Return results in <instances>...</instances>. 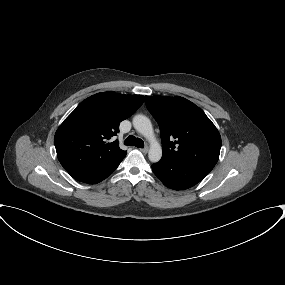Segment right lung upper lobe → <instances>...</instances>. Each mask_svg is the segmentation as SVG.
Instances as JSON below:
<instances>
[{"mask_svg": "<svg viewBox=\"0 0 285 285\" xmlns=\"http://www.w3.org/2000/svg\"><path fill=\"white\" fill-rule=\"evenodd\" d=\"M144 102L142 95L107 91L82 101L56 131L57 157L66 169L104 172L119 164L127 152L119 142H110L119 132L121 121L130 117Z\"/></svg>", "mask_w": 285, "mask_h": 285, "instance_id": "cb5924a9", "label": "right lung upper lobe"}]
</instances>
